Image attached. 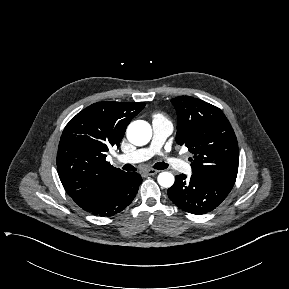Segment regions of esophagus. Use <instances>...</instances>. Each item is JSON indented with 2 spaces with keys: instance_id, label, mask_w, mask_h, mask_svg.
Here are the masks:
<instances>
[{
  "instance_id": "34e87169",
  "label": "esophagus",
  "mask_w": 289,
  "mask_h": 289,
  "mask_svg": "<svg viewBox=\"0 0 289 289\" xmlns=\"http://www.w3.org/2000/svg\"><path fill=\"white\" fill-rule=\"evenodd\" d=\"M158 172H159V171H158V170H155V169H147V170L145 171V173H146L147 175H156Z\"/></svg>"
}]
</instances>
